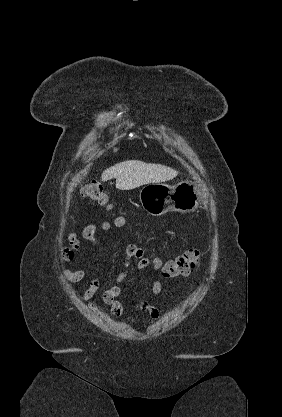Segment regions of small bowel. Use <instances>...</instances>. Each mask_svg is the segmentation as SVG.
Segmentation results:
<instances>
[{
	"label": "small bowel",
	"instance_id": "small-bowel-1",
	"mask_svg": "<svg viewBox=\"0 0 282 417\" xmlns=\"http://www.w3.org/2000/svg\"><path fill=\"white\" fill-rule=\"evenodd\" d=\"M112 227L111 223L107 221L90 223L82 230V238L93 245H98L97 232L99 230L108 231ZM68 241L70 245L77 252H80V241L78 235L75 232H71L68 235ZM138 261L137 268L139 271H146L147 269L154 267L157 268L156 261H153L143 256L141 248L131 245L127 248L125 254L121 258L122 271L119 273L117 283L108 288L103 299L105 303L111 308L114 316H121L123 314V305L120 301L121 287L120 283L128 278L131 267V260ZM61 275L72 283H78L82 281L86 276L85 269L71 270L63 269ZM100 287V281L98 278L91 279L87 289L79 296L82 301H88L96 294ZM162 292V283L156 279L152 283L151 293L152 295H159ZM137 308L148 314V324L154 323L160 317V311L157 307L153 306L147 301H140L137 304Z\"/></svg>",
	"mask_w": 282,
	"mask_h": 417
}]
</instances>
